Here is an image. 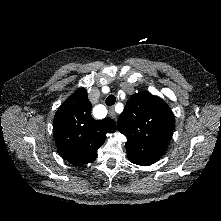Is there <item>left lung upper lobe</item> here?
Wrapping results in <instances>:
<instances>
[{"mask_svg":"<svg viewBox=\"0 0 221 221\" xmlns=\"http://www.w3.org/2000/svg\"><path fill=\"white\" fill-rule=\"evenodd\" d=\"M174 128V115L168 105L149 92L131 96L118 119V130L127 137V157L141 166L159 160Z\"/></svg>","mask_w":221,"mask_h":221,"instance_id":"1","label":"left lung upper lobe"}]
</instances>
